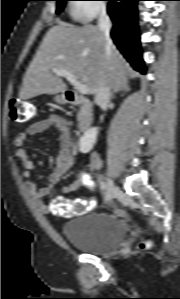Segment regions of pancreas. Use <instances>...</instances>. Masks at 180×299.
Listing matches in <instances>:
<instances>
[{"instance_id": "1", "label": "pancreas", "mask_w": 180, "mask_h": 299, "mask_svg": "<svg viewBox=\"0 0 180 299\" xmlns=\"http://www.w3.org/2000/svg\"><path fill=\"white\" fill-rule=\"evenodd\" d=\"M81 118H82V111H80V112L78 113V116H77L78 121H80Z\"/></svg>"}]
</instances>
